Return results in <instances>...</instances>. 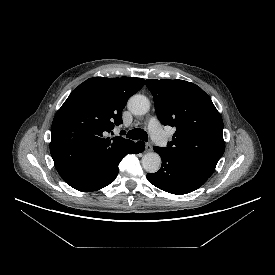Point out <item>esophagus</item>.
Returning <instances> with one entry per match:
<instances>
[{"label":"esophagus","instance_id":"34e87169","mask_svg":"<svg viewBox=\"0 0 275 275\" xmlns=\"http://www.w3.org/2000/svg\"><path fill=\"white\" fill-rule=\"evenodd\" d=\"M145 151H146V152L152 151V146H151L150 143H146V144H145Z\"/></svg>","mask_w":275,"mask_h":275}]
</instances>
